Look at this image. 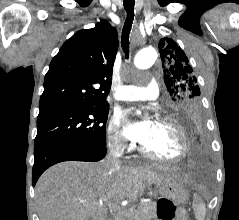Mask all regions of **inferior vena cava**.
Returning a JSON list of instances; mask_svg holds the SVG:
<instances>
[{
  "label": "inferior vena cava",
  "instance_id": "inferior-vena-cava-1",
  "mask_svg": "<svg viewBox=\"0 0 239 220\" xmlns=\"http://www.w3.org/2000/svg\"><path fill=\"white\" fill-rule=\"evenodd\" d=\"M123 150L124 144L121 142H119L118 144L111 145L109 152L106 155L105 163L113 166H119V157L121 156Z\"/></svg>",
  "mask_w": 239,
  "mask_h": 220
}]
</instances>
